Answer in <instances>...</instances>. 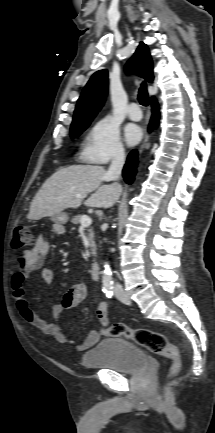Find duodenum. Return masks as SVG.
Listing matches in <instances>:
<instances>
[{"label": "duodenum", "mask_w": 215, "mask_h": 433, "mask_svg": "<svg viewBox=\"0 0 215 433\" xmlns=\"http://www.w3.org/2000/svg\"><path fill=\"white\" fill-rule=\"evenodd\" d=\"M91 276L94 280L100 279V266L98 263L93 262L90 266Z\"/></svg>", "instance_id": "410a0bca"}]
</instances>
